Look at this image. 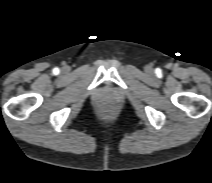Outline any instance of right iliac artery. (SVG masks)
I'll use <instances>...</instances> for the list:
<instances>
[{
	"label": "right iliac artery",
	"mask_w": 212,
	"mask_h": 183,
	"mask_svg": "<svg viewBox=\"0 0 212 183\" xmlns=\"http://www.w3.org/2000/svg\"><path fill=\"white\" fill-rule=\"evenodd\" d=\"M53 73H54V74H58V73H59V69H58V68H54V69H53Z\"/></svg>",
	"instance_id": "82829eb1"
}]
</instances>
